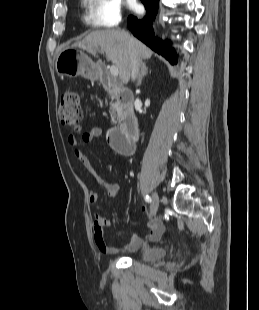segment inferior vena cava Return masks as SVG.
<instances>
[{
	"instance_id": "obj_1",
	"label": "inferior vena cava",
	"mask_w": 259,
	"mask_h": 310,
	"mask_svg": "<svg viewBox=\"0 0 259 310\" xmlns=\"http://www.w3.org/2000/svg\"><path fill=\"white\" fill-rule=\"evenodd\" d=\"M125 36L128 40L129 46H132V39L128 33L125 32ZM130 63H131V79L134 81L139 73V68L141 66V60L131 51L130 55Z\"/></svg>"
}]
</instances>
